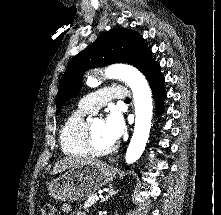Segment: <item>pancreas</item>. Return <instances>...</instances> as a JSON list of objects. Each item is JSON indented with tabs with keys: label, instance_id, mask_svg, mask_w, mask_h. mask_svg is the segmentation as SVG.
<instances>
[{
	"label": "pancreas",
	"instance_id": "pancreas-1",
	"mask_svg": "<svg viewBox=\"0 0 221 215\" xmlns=\"http://www.w3.org/2000/svg\"><path fill=\"white\" fill-rule=\"evenodd\" d=\"M95 195L90 196L83 205H80V207L83 206L84 209L88 210L90 207L94 206L96 200L93 199Z\"/></svg>",
	"mask_w": 221,
	"mask_h": 215
}]
</instances>
